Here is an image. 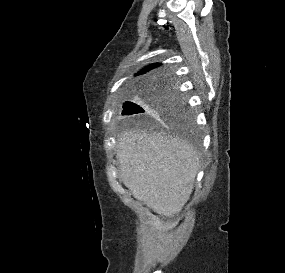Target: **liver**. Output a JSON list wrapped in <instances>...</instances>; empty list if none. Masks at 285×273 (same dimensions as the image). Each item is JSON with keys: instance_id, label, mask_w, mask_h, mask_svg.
<instances>
[{"instance_id": "1", "label": "liver", "mask_w": 285, "mask_h": 273, "mask_svg": "<svg viewBox=\"0 0 285 273\" xmlns=\"http://www.w3.org/2000/svg\"><path fill=\"white\" fill-rule=\"evenodd\" d=\"M120 177L133 197L164 217L178 215L192 193L199 157L192 146L159 133L125 131L117 139ZM176 223L166 224L163 231Z\"/></svg>"}]
</instances>
